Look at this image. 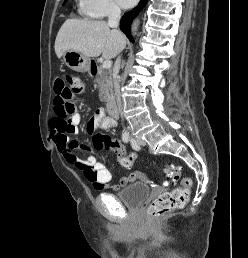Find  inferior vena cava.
<instances>
[{
    "label": "inferior vena cava",
    "instance_id": "inferior-vena-cava-1",
    "mask_svg": "<svg viewBox=\"0 0 248 258\" xmlns=\"http://www.w3.org/2000/svg\"><path fill=\"white\" fill-rule=\"evenodd\" d=\"M120 17H121L120 8L116 4H111L109 6V11H108V26L111 28H117L119 25ZM120 61H121L120 56H118L113 68V81H114V91H115L118 110L121 113V115H123L120 85H119V78H118V73L120 70Z\"/></svg>",
    "mask_w": 248,
    "mask_h": 258
}]
</instances>
